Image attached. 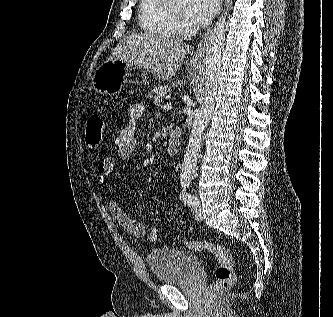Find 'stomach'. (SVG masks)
Instances as JSON below:
<instances>
[{
	"mask_svg": "<svg viewBox=\"0 0 333 317\" xmlns=\"http://www.w3.org/2000/svg\"><path fill=\"white\" fill-rule=\"evenodd\" d=\"M125 61H105L95 71L92 86L101 95H114L123 87V80L131 69Z\"/></svg>",
	"mask_w": 333,
	"mask_h": 317,
	"instance_id": "stomach-1",
	"label": "stomach"
}]
</instances>
